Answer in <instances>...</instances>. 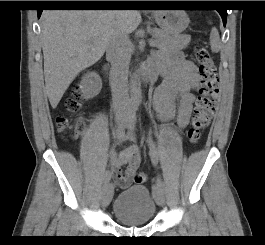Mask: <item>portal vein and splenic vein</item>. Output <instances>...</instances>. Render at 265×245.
Listing matches in <instances>:
<instances>
[{"instance_id": "portal-vein-and-splenic-vein-1", "label": "portal vein and splenic vein", "mask_w": 265, "mask_h": 245, "mask_svg": "<svg viewBox=\"0 0 265 245\" xmlns=\"http://www.w3.org/2000/svg\"><path fill=\"white\" fill-rule=\"evenodd\" d=\"M150 44L153 45V46H155L157 43L155 41L151 40L150 41Z\"/></svg>"}]
</instances>
